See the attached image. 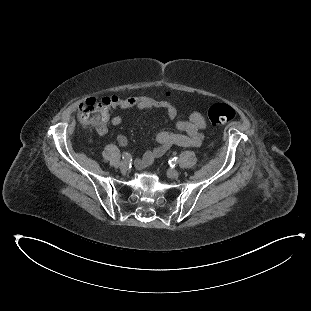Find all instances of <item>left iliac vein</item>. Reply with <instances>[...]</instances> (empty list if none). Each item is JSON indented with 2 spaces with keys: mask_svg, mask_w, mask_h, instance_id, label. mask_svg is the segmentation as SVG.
I'll return each mask as SVG.
<instances>
[{
  "mask_svg": "<svg viewBox=\"0 0 311 311\" xmlns=\"http://www.w3.org/2000/svg\"><path fill=\"white\" fill-rule=\"evenodd\" d=\"M168 176L170 178H177L179 176V172L176 169L168 170Z\"/></svg>",
  "mask_w": 311,
  "mask_h": 311,
  "instance_id": "left-iliac-vein-1",
  "label": "left iliac vein"
}]
</instances>
